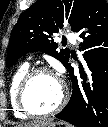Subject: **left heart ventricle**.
I'll return each mask as SVG.
<instances>
[{"mask_svg": "<svg viewBox=\"0 0 108 127\" xmlns=\"http://www.w3.org/2000/svg\"><path fill=\"white\" fill-rule=\"evenodd\" d=\"M61 96L59 79L52 74H39L32 81L27 101L38 112H47L55 107Z\"/></svg>", "mask_w": 108, "mask_h": 127, "instance_id": "left-heart-ventricle-1", "label": "left heart ventricle"}]
</instances>
